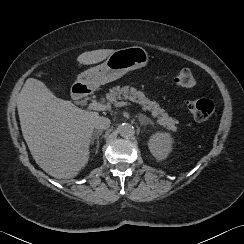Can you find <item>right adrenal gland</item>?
Segmentation results:
<instances>
[{
	"label": "right adrenal gland",
	"instance_id": "right-adrenal-gland-1",
	"mask_svg": "<svg viewBox=\"0 0 244 244\" xmlns=\"http://www.w3.org/2000/svg\"><path fill=\"white\" fill-rule=\"evenodd\" d=\"M101 134H102V130L95 131V132L93 133V137H92L91 142H90V144L93 145L95 139H97V149H96V153L98 152V149H99V137H100Z\"/></svg>",
	"mask_w": 244,
	"mask_h": 244
}]
</instances>
